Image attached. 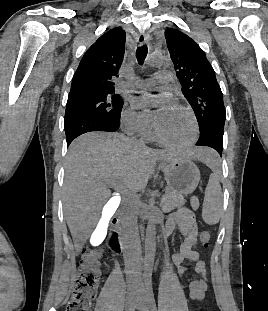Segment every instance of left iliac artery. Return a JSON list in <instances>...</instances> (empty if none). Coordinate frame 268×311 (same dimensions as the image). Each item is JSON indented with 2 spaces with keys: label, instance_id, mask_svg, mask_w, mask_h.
<instances>
[{
  "label": "left iliac artery",
  "instance_id": "left-iliac-artery-1",
  "mask_svg": "<svg viewBox=\"0 0 268 311\" xmlns=\"http://www.w3.org/2000/svg\"><path fill=\"white\" fill-rule=\"evenodd\" d=\"M147 294H148L151 311H157L151 280L147 283Z\"/></svg>",
  "mask_w": 268,
  "mask_h": 311
}]
</instances>
